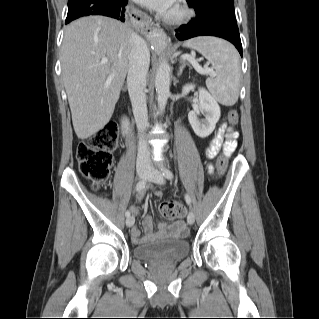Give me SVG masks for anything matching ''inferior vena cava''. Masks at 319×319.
<instances>
[{"label":"inferior vena cava","mask_w":319,"mask_h":319,"mask_svg":"<svg viewBox=\"0 0 319 319\" xmlns=\"http://www.w3.org/2000/svg\"><path fill=\"white\" fill-rule=\"evenodd\" d=\"M150 64V53L146 42L136 33L131 34L129 70L127 85L132 110L139 133L137 169H151L150 150L144 138V131L148 125L146 94L144 89L147 84V73Z\"/></svg>","instance_id":"602c4592"}]
</instances>
